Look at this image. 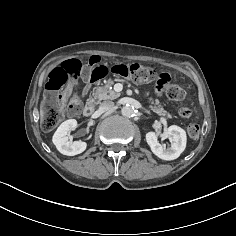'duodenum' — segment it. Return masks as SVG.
I'll return each instance as SVG.
<instances>
[{
	"mask_svg": "<svg viewBox=\"0 0 236 236\" xmlns=\"http://www.w3.org/2000/svg\"><path fill=\"white\" fill-rule=\"evenodd\" d=\"M93 111H94V106L92 103H89L85 107L84 114L86 117H90V116H92Z\"/></svg>",
	"mask_w": 236,
	"mask_h": 236,
	"instance_id": "1",
	"label": "duodenum"
}]
</instances>
